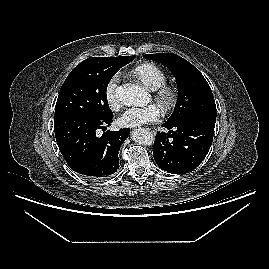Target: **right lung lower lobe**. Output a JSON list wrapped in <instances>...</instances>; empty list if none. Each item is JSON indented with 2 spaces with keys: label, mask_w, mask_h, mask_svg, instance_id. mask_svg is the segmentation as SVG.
<instances>
[{
  "label": "right lung lower lobe",
  "mask_w": 269,
  "mask_h": 269,
  "mask_svg": "<svg viewBox=\"0 0 269 269\" xmlns=\"http://www.w3.org/2000/svg\"><path fill=\"white\" fill-rule=\"evenodd\" d=\"M112 118L99 119L82 113L54 117L56 142L64 159L73 171L87 179L105 178L117 171L119 149L130 129L106 131L101 137L96 135L98 129L111 125Z\"/></svg>",
  "instance_id": "98d812e1"
}]
</instances>
